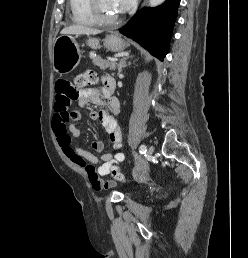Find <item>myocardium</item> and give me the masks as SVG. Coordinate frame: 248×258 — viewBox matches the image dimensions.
I'll return each instance as SVG.
<instances>
[{
  "label": "myocardium",
  "instance_id": "obj_1",
  "mask_svg": "<svg viewBox=\"0 0 248 258\" xmlns=\"http://www.w3.org/2000/svg\"><path fill=\"white\" fill-rule=\"evenodd\" d=\"M89 10L96 23L111 25L117 23L120 18H111L104 16L100 9V0H89Z\"/></svg>",
  "mask_w": 248,
  "mask_h": 258
}]
</instances>
